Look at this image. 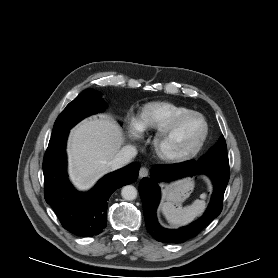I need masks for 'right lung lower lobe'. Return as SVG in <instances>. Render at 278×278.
<instances>
[{
	"label": "right lung lower lobe",
	"mask_w": 278,
	"mask_h": 278,
	"mask_svg": "<svg viewBox=\"0 0 278 278\" xmlns=\"http://www.w3.org/2000/svg\"><path fill=\"white\" fill-rule=\"evenodd\" d=\"M69 130L51 137L43 160L44 196L62 226L71 233L91 237L98 235L107 224V206L111 194L118 188L136 181L139 163L103 177L88 193L77 192L66 173L65 145Z\"/></svg>",
	"instance_id": "right-lung-lower-lobe-1"
}]
</instances>
